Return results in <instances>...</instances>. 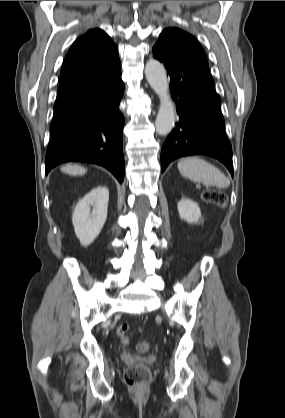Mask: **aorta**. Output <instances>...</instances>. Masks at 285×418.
<instances>
[{"mask_svg":"<svg viewBox=\"0 0 285 418\" xmlns=\"http://www.w3.org/2000/svg\"><path fill=\"white\" fill-rule=\"evenodd\" d=\"M145 76L160 99V107L155 121L156 132L167 135L175 123V108L169 96V84L163 65L154 59L148 60L145 66Z\"/></svg>","mask_w":285,"mask_h":418,"instance_id":"1","label":"aorta"}]
</instances>
